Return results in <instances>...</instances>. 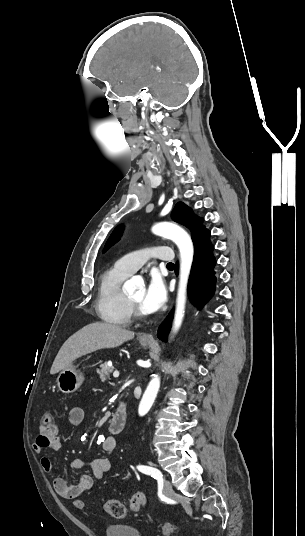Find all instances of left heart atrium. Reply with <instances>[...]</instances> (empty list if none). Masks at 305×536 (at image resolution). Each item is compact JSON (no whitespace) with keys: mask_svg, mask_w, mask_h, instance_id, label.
<instances>
[{"mask_svg":"<svg viewBox=\"0 0 305 536\" xmlns=\"http://www.w3.org/2000/svg\"><path fill=\"white\" fill-rule=\"evenodd\" d=\"M164 299L165 288L163 281L156 273L152 272L148 279L140 306L144 311L153 313L162 306Z\"/></svg>","mask_w":305,"mask_h":536,"instance_id":"1","label":"left heart atrium"}]
</instances>
